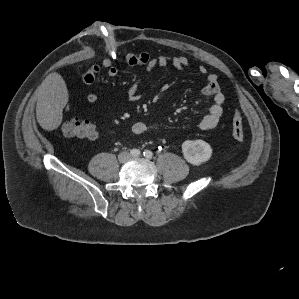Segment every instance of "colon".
I'll list each match as a JSON object with an SVG mask.
<instances>
[{
	"label": "colon",
	"instance_id": "obj_1",
	"mask_svg": "<svg viewBox=\"0 0 299 299\" xmlns=\"http://www.w3.org/2000/svg\"><path fill=\"white\" fill-rule=\"evenodd\" d=\"M62 132L67 137L78 139H91L96 135L95 126L88 120L73 117L62 123ZM234 140L241 141L244 139L245 130L243 117L239 110L234 111L233 125L231 131Z\"/></svg>",
	"mask_w": 299,
	"mask_h": 299
}]
</instances>
